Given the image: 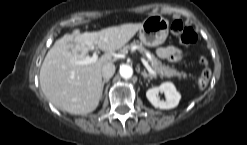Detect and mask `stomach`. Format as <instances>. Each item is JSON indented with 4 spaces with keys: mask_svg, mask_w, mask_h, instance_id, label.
Here are the masks:
<instances>
[{
    "mask_svg": "<svg viewBox=\"0 0 247 145\" xmlns=\"http://www.w3.org/2000/svg\"><path fill=\"white\" fill-rule=\"evenodd\" d=\"M169 33V21L161 15L147 17L139 30L140 42L147 47L162 44Z\"/></svg>",
    "mask_w": 247,
    "mask_h": 145,
    "instance_id": "1",
    "label": "stomach"
}]
</instances>
